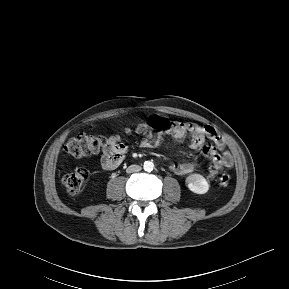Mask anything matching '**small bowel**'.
Masks as SVG:
<instances>
[{"mask_svg": "<svg viewBox=\"0 0 289 289\" xmlns=\"http://www.w3.org/2000/svg\"><path fill=\"white\" fill-rule=\"evenodd\" d=\"M175 128L172 131L173 143L182 146L184 138L189 136L191 141L185 147L191 152L202 151L209 160L207 178H214L220 170L232 167L233 158L226 148V144L216 130L209 126L192 121H174ZM158 129L156 132H159ZM133 130L124 127L120 133L110 136L106 145L103 147L100 163L104 170L111 171L116 169L126 157L128 147L123 143V137L131 135ZM135 132L145 136L142 147H150L153 143L152 135L155 133L147 132L143 123L135 128ZM211 141L214 145L206 146V142ZM197 163L195 161L176 163L171 165V170L176 174H186L191 172Z\"/></svg>", "mask_w": 289, "mask_h": 289, "instance_id": "1", "label": "small bowel"}]
</instances>
